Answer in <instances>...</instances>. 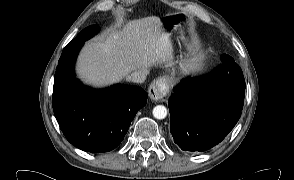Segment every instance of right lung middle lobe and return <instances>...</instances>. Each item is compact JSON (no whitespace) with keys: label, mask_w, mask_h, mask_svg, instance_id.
Listing matches in <instances>:
<instances>
[{"label":"right lung middle lobe","mask_w":294,"mask_h":180,"mask_svg":"<svg viewBox=\"0 0 294 180\" xmlns=\"http://www.w3.org/2000/svg\"><path fill=\"white\" fill-rule=\"evenodd\" d=\"M99 27L97 25H92L80 32V34L72 40L64 49L70 48L74 45L83 44L86 40L93 37L97 32H99Z\"/></svg>","instance_id":"right-lung-middle-lobe-1"}]
</instances>
